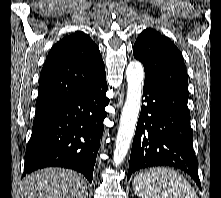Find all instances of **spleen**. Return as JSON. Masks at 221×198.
I'll return each instance as SVG.
<instances>
[{
  "label": "spleen",
  "instance_id": "1",
  "mask_svg": "<svg viewBox=\"0 0 221 198\" xmlns=\"http://www.w3.org/2000/svg\"><path fill=\"white\" fill-rule=\"evenodd\" d=\"M132 186L139 198H198L189 181L167 167L140 172Z\"/></svg>",
  "mask_w": 221,
  "mask_h": 198
}]
</instances>
